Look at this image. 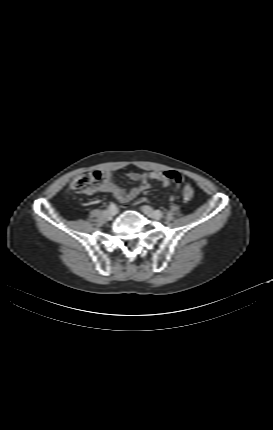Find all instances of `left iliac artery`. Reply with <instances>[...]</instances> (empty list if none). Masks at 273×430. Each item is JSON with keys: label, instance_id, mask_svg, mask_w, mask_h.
<instances>
[{"label": "left iliac artery", "instance_id": "44dca946", "mask_svg": "<svg viewBox=\"0 0 273 430\" xmlns=\"http://www.w3.org/2000/svg\"><path fill=\"white\" fill-rule=\"evenodd\" d=\"M156 211H157V214L162 217L161 211H159V210H156Z\"/></svg>", "mask_w": 273, "mask_h": 430}]
</instances>
